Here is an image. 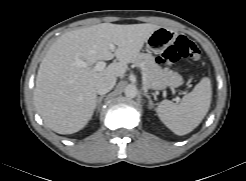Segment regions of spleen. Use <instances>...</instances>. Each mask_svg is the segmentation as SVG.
Returning a JSON list of instances; mask_svg holds the SVG:
<instances>
[{
    "label": "spleen",
    "mask_w": 246,
    "mask_h": 181,
    "mask_svg": "<svg viewBox=\"0 0 246 181\" xmlns=\"http://www.w3.org/2000/svg\"><path fill=\"white\" fill-rule=\"evenodd\" d=\"M212 98L211 81L204 77L194 89L177 104L163 100L156 112L160 120L175 134L185 135L193 131L207 114Z\"/></svg>",
    "instance_id": "1"
}]
</instances>
